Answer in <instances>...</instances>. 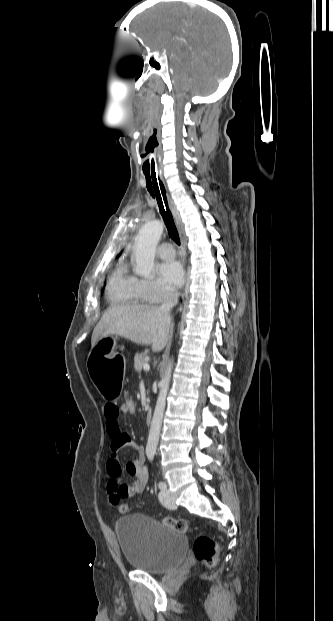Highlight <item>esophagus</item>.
Segmentation results:
<instances>
[{
    "label": "esophagus",
    "instance_id": "34e87169",
    "mask_svg": "<svg viewBox=\"0 0 333 621\" xmlns=\"http://www.w3.org/2000/svg\"><path fill=\"white\" fill-rule=\"evenodd\" d=\"M168 203H169V207H170V209L172 211V214L174 216L175 223H176L178 232L180 234V237H181V240H182V244H183V250H184L185 240H184L183 225L181 223L179 212H178V210H177V208L175 206V203L173 202L172 198L169 195H168Z\"/></svg>",
    "mask_w": 333,
    "mask_h": 621
}]
</instances>
